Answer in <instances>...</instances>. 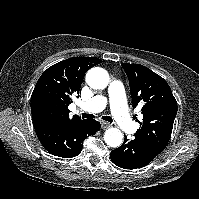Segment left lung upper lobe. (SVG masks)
<instances>
[{
    "label": "left lung upper lobe",
    "mask_w": 199,
    "mask_h": 199,
    "mask_svg": "<svg viewBox=\"0 0 199 199\" xmlns=\"http://www.w3.org/2000/svg\"><path fill=\"white\" fill-rule=\"evenodd\" d=\"M121 65L129 79L133 106H142L143 121L135 135L164 150L177 114V102L168 83L143 65Z\"/></svg>",
    "instance_id": "obj_1"
}]
</instances>
